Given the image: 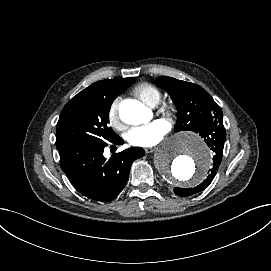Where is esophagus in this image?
I'll return each mask as SVG.
<instances>
[{
    "label": "esophagus",
    "mask_w": 271,
    "mask_h": 271,
    "mask_svg": "<svg viewBox=\"0 0 271 271\" xmlns=\"http://www.w3.org/2000/svg\"><path fill=\"white\" fill-rule=\"evenodd\" d=\"M155 150H156V147H148V148H145V152H146L147 154L152 153V152H154Z\"/></svg>",
    "instance_id": "esophagus-1"
}]
</instances>
